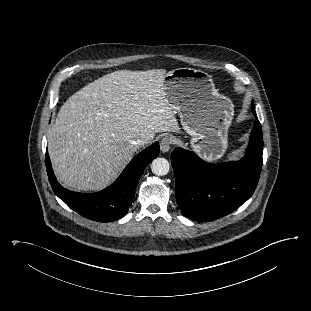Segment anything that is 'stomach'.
I'll return each mask as SVG.
<instances>
[{
	"instance_id": "1",
	"label": "stomach",
	"mask_w": 311,
	"mask_h": 311,
	"mask_svg": "<svg viewBox=\"0 0 311 311\" xmlns=\"http://www.w3.org/2000/svg\"><path fill=\"white\" fill-rule=\"evenodd\" d=\"M164 91L184 130L192 136V149L209 161L219 159L228 146L234 115L231 100L217 92L209 74L192 68L167 72Z\"/></svg>"
}]
</instances>
